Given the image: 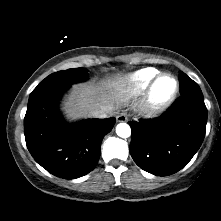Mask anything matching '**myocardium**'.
Segmentation results:
<instances>
[{"label": "myocardium", "instance_id": "obj_1", "mask_svg": "<svg viewBox=\"0 0 221 221\" xmlns=\"http://www.w3.org/2000/svg\"><path fill=\"white\" fill-rule=\"evenodd\" d=\"M164 77H169L174 81V89L166 98L158 100L155 97V88L157 83ZM178 92H179V81L174 75L166 72L158 73L151 80V82L147 87L145 95V104H144L145 111L150 115H155L163 112L172 104Z\"/></svg>", "mask_w": 221, "mask_h": 221}]
</instances>
